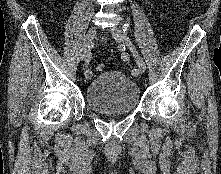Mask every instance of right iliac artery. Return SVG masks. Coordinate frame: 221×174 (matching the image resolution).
<instances>
[{"label":"right iliac artery","instance_id":"1","mask_svg":"<svg viewBox=\"0 0 221 174\" xmlns=\"http://www.w3.org/2000/svg\"><path fill=\"white\" fill-rule=\"evenodd\" d=\"M90 61H91V52L88 54L87 58L85 59V72L84 76L87 80L91 79L93 76V71L90 68Z\"/></svg>","mask_w":221,"mask_h":174}]
</instances>
